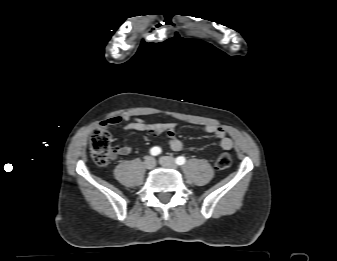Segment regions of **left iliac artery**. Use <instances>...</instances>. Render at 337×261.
I'll use <instances>...</instances> for the list:
<instances>
[{"instance_id": "1", "label": "left iliac artery", "mask_w": 337, "mask_h": 261, "mask_svg": "<svg viewBox=\"0 0 337 261\" xmlns=\"http://www.w3.org/2000/svg\"><path fill=\"white\" fill-rule=\"evenodd\" d=\"M185 162H186V158L183 157V156H179V157L176 158V163L178 165H183Z\"/></svg>"}]
</instances>
